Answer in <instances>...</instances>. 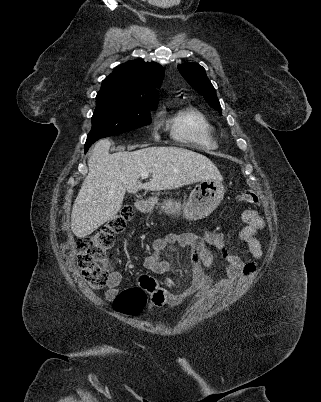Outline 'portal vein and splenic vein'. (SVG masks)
Wrapping results in <instances>:
<instances>
[{"mask_svg": "<svg viewBox=\"0 0 321 402\" xmlns=\"http://www.w3.org/2000/svg\"><path fill=\"white\" fill-rule=\"evenodd\" d=\"M140 176H141L142 179H146V178L149 177V173L148 172H143V173H141Z\"/></svg>", "mask_w": 321, "mask_h": 402, "instance_id": "obj_1", "label": "portal vein and splenic vein"}]
</instances>
